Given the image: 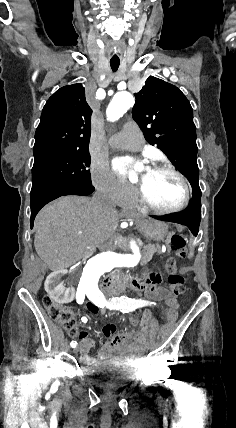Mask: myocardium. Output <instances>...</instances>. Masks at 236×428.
I'll return each instance as SVG.
<instances>
[{"mask_svg":"<svg viewBox=\"0 0 236 428\" xmlns=\"http://www.w3.org/2000/svg\"><path fill=\"white\" fill-rule=\"evenodd\" d=\"M149 169L155 172L167 171L175 175L180 180L183 186V191H184L183 199L178 205L174 207L164 208L154 203L147 196L144 189L141 186H138V189H137L138 201L144 206L148 207L149 209L161 214H173L184 210L191 201V187L187 177L178 168H176L173 164L167 161L155 163Z\"/></svg>","mask_w":236,"mask_h":428,"instance_id":"myocardium-1","label":"myocardium"}]
</instances>
